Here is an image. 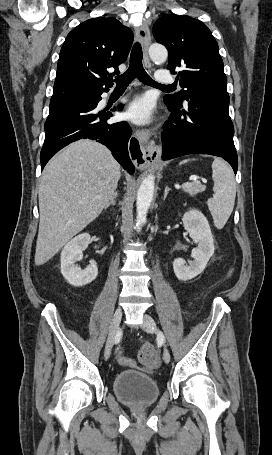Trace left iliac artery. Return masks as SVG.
<instances>
[{"label":"left iliac artery","instance_id":"1","mask_svg":"<svg viewBox=\"0 0 272 455\" xmlns=\"http://www.w3.org/2000/svg\"><path fill=\"white\" fill-rule=\"evenodd\" d=\"M158 337H159V339H161V340H164V339H165L162 332H159Z\"/></svg>","mask_w":272,"mask_h":455}]
</instances>
